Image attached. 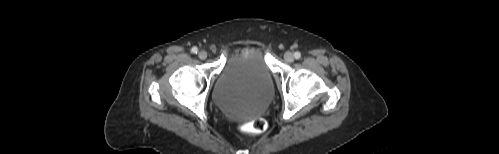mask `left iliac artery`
Returning <instances> with one entry per match:
<instances>
[{
    "instance_id": "1",
    "label": "left iliac artery",
    "mask_w": 499,
    "mask_h": 154,
    "mask_svg": "<svg viewBox=\"0 0 499 154\" xmlns=\"http://www.w3.org/2000/svg\"><path fill=\"white\" fill-rule=\"evenodd\" d=\"M294 57H295L296 59H300V58H301V54H300V52H295V53H294Z\"/></svg>"
}]
</instances>
